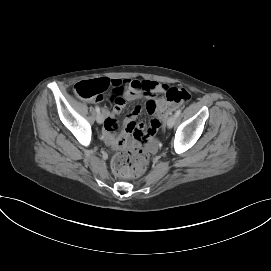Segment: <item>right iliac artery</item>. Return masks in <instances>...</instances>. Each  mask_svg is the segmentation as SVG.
I'll return each instance as SVG.
<instances>
[{"mask_svg": "<svg viewBox=\"0 0 271 271\" xmlns=\"http://www.w3.org/2000/svg\"><path fill=\"white\" fill-rule=\"evenodd\" d=\"M95 110H96L97 113H99V112H100L99 106H96V107H95Z\"/></svg>", "mask_w": 271, "mask_h": 271, "instance_id": "1", "label": "right iliac artery"}]
</instances>
